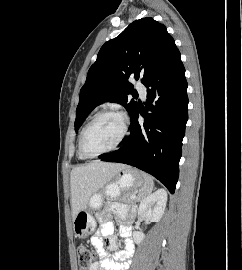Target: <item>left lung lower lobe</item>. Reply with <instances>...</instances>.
<instances>
[{
    "mask_svg": "<svg viewBox=\"0 0 242 270\" xmlns=\"http://www.w3.org/2000/svg\"><path fill=\"white\" fill-rule=\"evenodd\" d=\"M145 86V112L139 108L131 118L130 136L123 139L118 150L99 158L137 167L174 193L188 120L187 81L181 57L164 66ZM139 112L144 117L143 125L138 123Z\"/></svg>",
    "mask_w": 242,
    "mask_h": 270,
    "instance_id": "0a47b994",
    "label": "left lung lower lobe"
}]
</instances>
